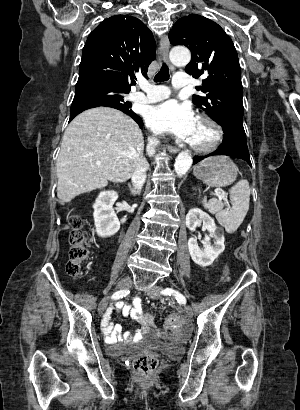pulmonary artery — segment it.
Here are the masks:
<instances>
[{"mask_svg": "<svg viewBox=\"0 0 300 410\" xmlns=\"http://www.w3.org/2000/svg\"><path fill=\"white\" fill-rule=\"evenodd\" d=\"M191 77L187 73H176L173 79L175 88L187 87L190 85ZM140 91L132 95V99L140 104H150L161 101L170 95V90L165 86H156L147 82L140 83Z\"/></svg>", "mask_w": 300, "mask_h": 410, "instance_id": "1", "label": "pulmonary artery"}]
</instances>
